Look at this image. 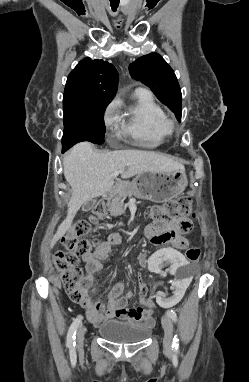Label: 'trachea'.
I'll use <instances>...</instances> for the list:
<instances>
[{"mask_svg":"<svg viewBox=\"0 0 249 382\" xmlns=\"http://www.w3.org/2000/svg\"><path fill=\"white\" fill-rule=\"evenodd\" d=\"M110 6H111V8H112L113 11H116L117 8H118V6H119V0H117V2H112V1L110 0Z\"/></svg>","mask_w":249,"mask_h":382,"instance_id":"trachea-1","label":"trachea"}]
</instances>
